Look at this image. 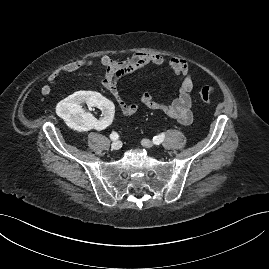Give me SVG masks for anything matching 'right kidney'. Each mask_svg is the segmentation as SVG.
Returning a JSON list of instances; mask_svg holds the SVG:
<instances>
[{"mask_svg":"<svg viewBox=\"0 0 269 269\" xmlns=\"http://www.w3.org/2000/svg\"><path fill=\"white\" fill-rule=\"evenodd\" d=\"M86 102L88 106H97L104 114L94 118L92 114L85 113L81 104ZM57 114L66 124L80 131H103L112 124L114 105L97 92L79 91L62 100L57 105Z\"/></svg>","mask_w":269,"mask_h":269,"instance_id":"1","label":"right kidney"}]
</instances>
